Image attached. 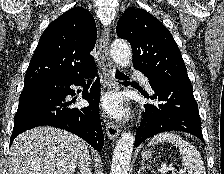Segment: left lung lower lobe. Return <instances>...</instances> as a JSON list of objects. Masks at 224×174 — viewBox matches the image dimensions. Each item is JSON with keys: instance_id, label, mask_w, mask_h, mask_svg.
<instances>
[{"instance_id": "0a47b994", "label": "left lung lower lobe", "mask_w": 224, "mask_h": 174, "mask_svg": "<svg viewBox=\"0 0 224 174\" xmlns=\"http://www.w3.org/2000/svg\"><path fill=\"white\" fill-rule=\"evenodd\" d=\"M149 83L154 91L150 99L156 103L143 106V119L136 132L135 146L149 137L166 131L188 132L204 142L193 86L162 81H149Z\"/></svg>"}]
</instances>
